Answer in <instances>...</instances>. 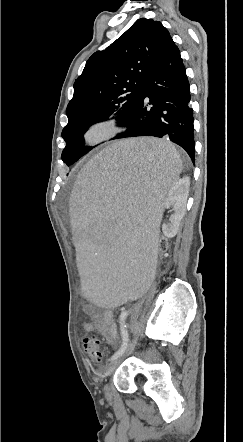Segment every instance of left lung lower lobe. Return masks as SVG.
Wrapping results in <instances>:
<instances>
[{
  "label": "left lung lower lobe",
  "instance_id": "0a47b994",
  "mask_svg": "<svg viewBox=\"0 0 243 442\" xmlns=\"http://www.w3.org/2000/svg\"><path fill=\"white\" fill-rule=\"evenodd\" d=\"M146 97L151 108L146 107ZM190 102V85L180 51L169 36L146 75L136 111L122 124L127 131L113 139L167 138L181 146L194 162V120Z\"/></svg>",
  "mask_w": 243,
  "mask_h": 442
}]
</instances>
